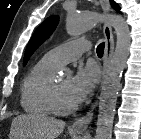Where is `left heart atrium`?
Segmentation results:
<instances>
[{
  "mask_svg": "<svg viewBox=\"0 0 141 139\" xmlns=\"http://www.w3.org/2000/svg\"><path fill=\"white\" fill-rule=\"evenodd\" d=\"M99 80L95 65L81 67L71 80L70 94L75 103L83 102L93 91Z\"/></svg>",
  "mask_w": 141,
  "mask_h": 139,
  "instance_id": "left-heart-atrium-1",
  "label": "left heart atrium"
}]
</instances>
